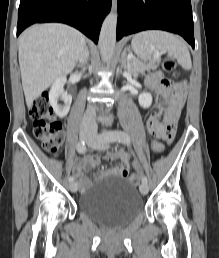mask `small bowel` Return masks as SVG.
<instances>
[{
  "label": "small bowel",
  "instance_id": "small-bowel-1",
  "mask_svg": "<svg viewBox=\"0 0 219 258\" xmlns=\"http://www.w3.org/2000/svg\"><path fill=\"white\" fill-rule=\"evenodd\" d=\"M146 83L157 90L163 97H169L170 101L166 110V118H146L145 127H148L149 134H156L157 137L171 143L174 138L179 114L185 101L186 87L181 84H170L160 72L149 73ZM151 116L161 117L162 113L152 112ZM107 158L110 162H117V167L108 172H117L118 178L127 179V175L130 172V156L125 151L119 150L112 152ZM99 163L100 158L91 155L75 160L73 173L83 191L90 185V180L84 176V172L96 169Z\"/></svg>",
  "mask_w": 219,
  "mask_h": 258
}]
</instances>
